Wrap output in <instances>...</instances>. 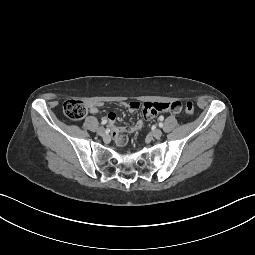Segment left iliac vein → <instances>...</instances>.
<instances>
[{"label": "left iliac vein", "instance_id": "left-iliac-vein-1", "mask_svg": "<svg viewBox=\"0 0 255 255\" xmlns=\"http://www.w3.org/2000/svg\"><path fill=\"white\" fill-rule=\"evenodd\" d=\"M152 134L155 138H160L162 136V131L160 129H155Z\"/></svg>", "mask_w": 255, "mask_h": 255}]
</instances>
